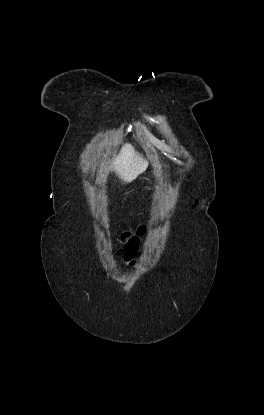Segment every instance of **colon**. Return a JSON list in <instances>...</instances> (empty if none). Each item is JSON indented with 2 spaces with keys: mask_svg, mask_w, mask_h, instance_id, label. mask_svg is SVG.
<instances>
[{
  "mask_svg": "<svg viewBox=\"0 0 264 415\" xmlns=\"http://www.w3.org/2000/svg\"><path fill=\"white\" fill-rule=\"evenodd\" d=\"M142 234H143V231L141 229L137 230L135 234H132L130 232H126L123 234L122 239L125 242V246L127 250L126 256H129L131 251L134 250L135 245L139 239V236H141Z\"/></svg>",
  "mask_w": 264,
  "mask_h": 415,
  "instance_id": "1",
  "label": "colon"
}]
</instances>
